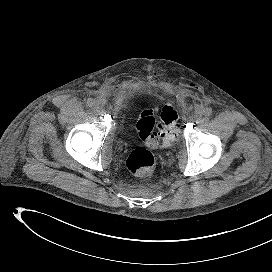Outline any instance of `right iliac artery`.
Returning a JSON list of instances; mask_svg holds the SVG:
<instances>
[{"label":"right iliac artery","instance_id":"1","mask_svg":"<svg viewBox=\"0 0 272 272\" xmlns=\"http://www.w3.org/2000/svg\"><path fill=\"white\" fill-rule=\"evenodd\" d=\"M95 105V101L92 98H88L87 100V106L93 107Z\"/></svg>","mask_w":272,"mask_h":272}]
</instances>
